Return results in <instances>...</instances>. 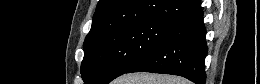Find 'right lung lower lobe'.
I'll use <instances>...</instances> for the list:
<instances>
[{
  "instance_id": "right-lung-lower-lobe-1",
  "label": "right lung lower lobe",
  "mask_w": 260,
  "mask_h": 84,
  "mask_svg": "<svg viewBox=\"0 0 260 84\" xmlns=\"http://www.w3.org/2000/svg\"><path fill=\"white\" fill-rule=\"evenodd\" d=\"M201 7L172 25L159 42L125 73L153 72L183 76L204 84L207 45Z\"/></svg>"
}]
</instances>
